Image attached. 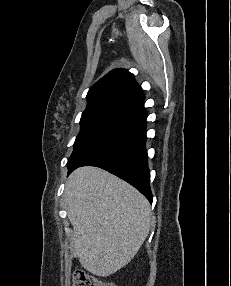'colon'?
<instances>
[{
  "label": "colon",
  "mask_w": 231,
  "mask_h": 286,
  "mask_svg": "<svg viewBox=\"0 0 231 286\" xmlns=\"http://www.w3.org/2000/svg\"><path fill=\"white\" fill-rule=\"evenodd\" d=\"M72 286H117L113 283L98 280L84 271H76L72 276Z\"/></svg>",
  "instance_id": "obj_1"
}]
</instances>
